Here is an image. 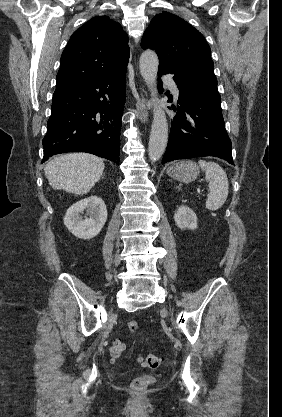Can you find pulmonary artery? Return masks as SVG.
<instances>
[{
    "label": "pulmonary artery",
    "instance_id": "pulmonary-artery-1",
    "mask_svg": "<svg viewBox=\"0 0 282 417\" xmlns=\"http://www.w3.org/2000/svg\"><path fill=\"white\" fill-rule=\"evenodd\" d=\"M159 81H160L161 83H166V82L168 81V76H167L166 74H161V75L159 76ZM169 85H170V87H171V89H172V91H173V93H174L175 97H177V95H178V90H177V88H176V86H175L174 82H173V81H170V82H169Z\"/></svg>",
    "mask_w": 282,
    "mask_h": 417
}]
</instances>
